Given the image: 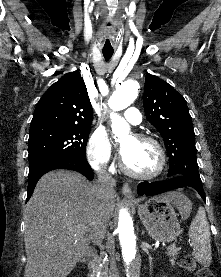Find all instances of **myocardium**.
I'll return each mask as SVG.
<instances>
[{"label": "myocardium", "instance_id": "obj_1", "mask_svg": "<svg viewBox=\"0 0 221 277\" xmlns=\"http://www.w3.org/2000/svg\"><path fill=\"white\" fill-rule=\"evenodd\" d=\"M134 138L138 141H143V142H149L155 146L157 149L158 155H159V164L157 169L150 174H140L132 171L131 169L128 168L126 163L124 162V159L121 155L120 160H119V165L122 170L126 175L134 178V179H139V180H152L160 176L165 168L166 165V154L163 146L161 143L154 137L146 135V134H136L134 135Z\"/></svg>", "mask_w": 221, "mask_h": 277}]
</instances>
